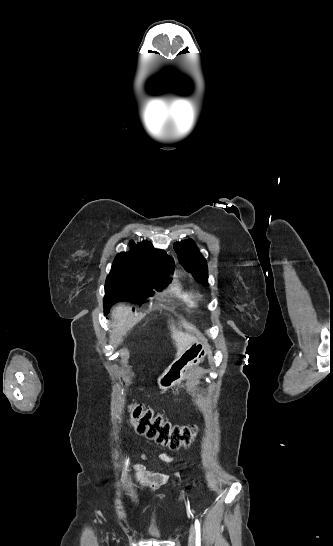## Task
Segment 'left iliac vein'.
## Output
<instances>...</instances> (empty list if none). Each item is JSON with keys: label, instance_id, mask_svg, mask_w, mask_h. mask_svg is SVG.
I'll return each mask as SVG.
<instances>
[{"label": "left iliac vein", "instance_id": "4c4485c4", "mask_svg": "<svg viewBox=\"0 0 333 546\" xmlns=\"http://www.w3.org/2000/svg\"><path fill=\"white\" fill-rule=\"evenodd\" d=\"M189 546H195V529L191 527L189 535Z\"/></svg>", "mask_w": 333, "mask_h": 546}]
</instances>
